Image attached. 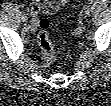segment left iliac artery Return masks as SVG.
Listing matches in <instances>:
<instances>
[{
    "label": "left iliac artery",
    "mask_w": 111,
    "mask_h": 106,
    "mask_svg": "<svg viewBox=\"0 0 111 106\" xmlns=\"http://www.w3.org/2000/svg\"><path fill=\"white\" fill-rule=\"evenodd\" d=\"M92 3H93V0H89V1H88V4H92Z\"/></svg>",
    "instance_id": "1"
}]
</instances>
